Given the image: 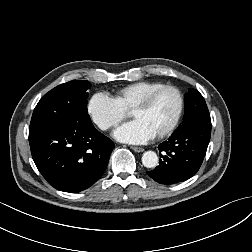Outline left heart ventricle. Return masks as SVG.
Segmentation results:
<instances>
[{
  "instance_id": "obj_1",
  "label": "left heart ventricle",
  "mask_w": 252,
  "mask_h": 252,
  "mask_svg": "<svg viewBox=\"0 0 252 252\" xmlns=\"http://www.w3.org/2000/svg\"><path fill=\"white\" fill-rule=\"evenodd\" d=\"M177 108V95L166 90L161 92L148 108L131 112V117L143 121L156 135L171 124Z\"/></svg>"
}]
</instances>
